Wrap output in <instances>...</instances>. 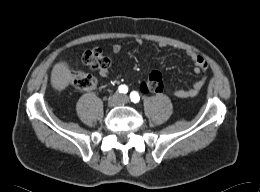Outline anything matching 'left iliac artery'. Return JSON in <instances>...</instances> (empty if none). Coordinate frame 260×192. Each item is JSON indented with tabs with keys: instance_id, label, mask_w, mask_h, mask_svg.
<instances>
[{
	"instance_id": "44dca946",
	"label": "left iliac artery",
	"mask_w": 260,
	"mask_h": 192,
	"mask_svg": "<svg viewBox=\"0 0 260 192\" xmlns=\"http://www.w3.org/2000/svg\"><path fill=\"white\" fill-rule=\"evenodd\" d=\"M130 99L134 103H138L140 101V96L136 91L131 92Z\"/></svg>"
}]
</instances>
